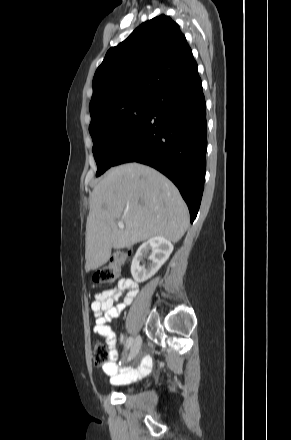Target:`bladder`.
Wrapping results in <instances>:
<instances>
[{
    "label": "bladder",
    "mask_w": 291,
    "mask_h": 440,
    "mask_svg": "<svg viewBox=\"0 0 291 440\" xmlns=\"http://www.w3.org/2000/svg\"><path fill=\"white\" fill-rule=\"evenodd\" d=\"M131 392V387L130 385L126 386V393H130Z\"/></svg>",
    "instance_id": "1"
}]
</instances>
